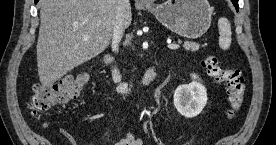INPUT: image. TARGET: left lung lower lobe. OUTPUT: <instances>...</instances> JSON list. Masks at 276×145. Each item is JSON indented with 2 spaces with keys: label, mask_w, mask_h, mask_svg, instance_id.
I'll use <instances>...</instances> for the list:
<instances>
[{
  "label": "left lung lower lobe",
  "mask_w": 276,
  "mask_h": 145,
  "mask_svg": "<svg viewBox=\"0 0 276 145\" xmlns=\"http://www.w3.org/2000/svg\"><path fill=\"white\" fill-rule=\"evenodd\" d=\"M232 3L234 4L236 10L238 11L239 10V6H238V0H231Z\"/></svg>",
  "instance_id": "obj_1"
}]
</instances>
